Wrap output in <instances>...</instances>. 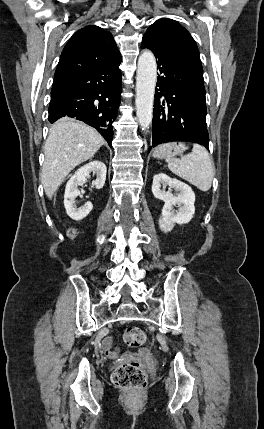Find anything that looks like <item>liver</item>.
<instances>
[{"label": "liver", "mask_w": 264, "mask_h": 429, "mask_svg": "<svg viewBox=\"0 0 264 429\" xmlns=\"http://www.w3.org/2000/svg\"><path fill=\"white\" fill-rule=\"evenodd\" d=\"M105 143L92 127L65 117L49 130L40 175L46 196L51 199L69 172L92 158Z\"/></svg>", "instance_id": "obj_1"}]
</instances>
